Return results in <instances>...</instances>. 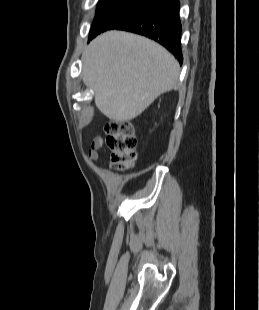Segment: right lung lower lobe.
I'll list each match as a JSON object with an SVG mask.
<instances>
[{"mask_svg": "<svg viewBox=\"0 0 259 310\" xmlns=\"http://www.w3.org/2000/svg\"><path fill=\"white\" fill-rule=\"evenodd\" d=\"M179 7L178 0H159L154 7L134 16L115 29L141 34L155 40L182 64Z\"/></svg>", "mask_w": 259, "mask_h": 310, "instance_id": "1", "label": "right lung lower lobe"}]
</instances>
